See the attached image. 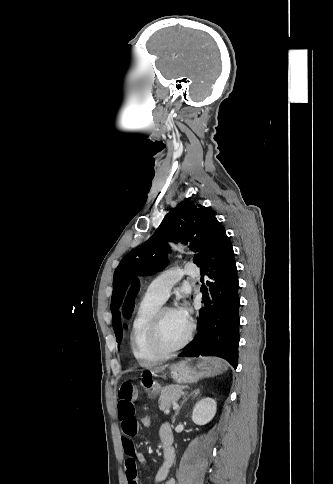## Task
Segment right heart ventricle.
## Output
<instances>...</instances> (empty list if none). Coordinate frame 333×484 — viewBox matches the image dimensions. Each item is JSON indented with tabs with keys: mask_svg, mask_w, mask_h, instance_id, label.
<instances>
[{
	"mask_svg": "<svg viewBox=\"0 0 333 484\" xmlns=\"http://www.w3.org/2000/svg\"><path fill=\"white\" fill-rule=\"evenodd\" d=\"M162 302L145 295L140 301L130 329V345L136 360L142 366H150L161 358L148 345V330L151 320Z\"/></svg>",
	"mask_w": 333,
	"mask_h": 484,
	"instance_id": "obj_1",
	"label": "right heart ventricle"
}]
</instances>
